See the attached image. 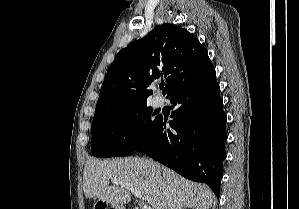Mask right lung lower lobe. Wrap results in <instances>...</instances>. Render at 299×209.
Here are the masks:
<instances>
[{
	"label": "right lung lower lobe",
	"mask_w": 299,
	"mask_h": 209,
	"mask_svg": "<svg viewBox=\"0 0 299 209\" xmlns=\"http://www.w3.org/2000/svg\"><path fill=\"white\" fill-rule=\"evenodd\" d=\"M166 97L175 108L171 129L166 128V119L157 116L135 151H144L190 180L206 183L219 197L227 133L215 71L189 76Z\"/></svg>",
	"instance_id": "right-lung-lower-lobe-1"
}]
</instances>
